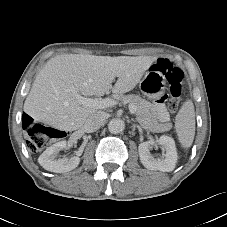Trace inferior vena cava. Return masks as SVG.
Returning a JSON list of instances; mask_svg holds the SVG:
<instances>
[{"mask_svg": "<svg viewBox=\"0 0 227 227\" xmlns=\"http://www.w3.org/2000/svg\"><path fill=\"white\" fill-rule=\"evenodd\" d=\"M106 120V113L103 111H98L95 114L89 116L84 123L85 132H94L98 130Z\"/></svg>", "mask_w": 227, "mask_h": 227, "instance_id": "inferior-vena-cava-1", "label": "inferior vena cava"}]
</instances>
